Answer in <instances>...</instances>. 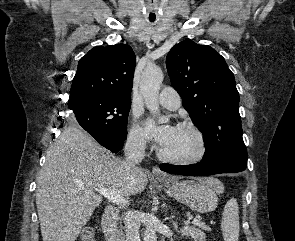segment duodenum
<instances>
[{
  "label": "duodenum",
  "instance_id": "duodenum-1",
  "mask_svg": "<svg viewBox=\"0 0 295 241\" xmlns=\"http://www.w3.org/2000/svg\"><path fill=\"white\" fill-rule=\"evenodd\" d=\"M118 209L114 206H107L102 217V230L107 241H125L118 230Z\"/></svg>",
  "mask_w": 295,
  "mask_h": 241
}]
</instances>
